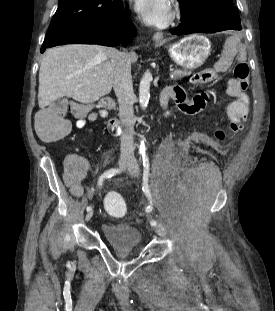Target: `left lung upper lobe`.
Masks as SVG:
<instances>
[{"label":"left lung upper lobe","mask_w":275,"mask_h":311,"mask_svg":"<svg viewBox=\"0 0 275 311\" xmlns=\"http://www.w3.org/2000/svg\"><path fill=\"white\" fill-rule=\"evenodd\" d=\"M181 16L185 19L193 18L207 11H227L232 18L240 20L237 8L232 0H178Z\"/></svg>","instance_id":"5c2ea615"}]
</instances>
